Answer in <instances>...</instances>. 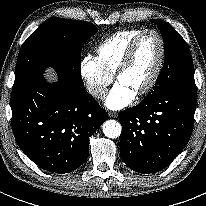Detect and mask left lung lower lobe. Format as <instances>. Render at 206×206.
Returning a JSON list of instances; mask_svg holds the SVG:
<instances>
[{"label": "left lung lower lobe", "mask_w": 206, "mask_h": 206, "mask_svg": "<svg viewBox=\"0 0 206 206\" xmlns=\"http://www.w3.org/2000/svg\"><path fill=\"white\" fill-rule=\"evenodd\" d=\"M196 100L195 87H179L120 112L124 163L139 173L168 166L191 137Z\"/></svg>", "instance_id": "0a47b994"}]
</instances>
